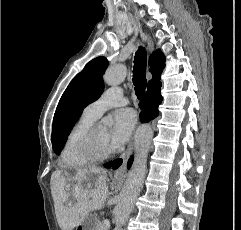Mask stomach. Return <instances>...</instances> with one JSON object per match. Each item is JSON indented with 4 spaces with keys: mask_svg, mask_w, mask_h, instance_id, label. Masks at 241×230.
<instances>
[{
    "mask_svg": "<svg viewBox=\"0 0 241 230\" xmlns=\"http://www.w3.org/2000/svg\"><path fill=\"white\" fill-rule=\"evenodd\" d=\"M89 182H95V176L90 175ZM96 220L93 216H87L83 222L76 227V230H96Z\"/></svg>",
    "mask_w": 241,
    "mask_h": 230,
    "instance_id": "0dacf381",
    "label": "stomach"
}]
</instances>
